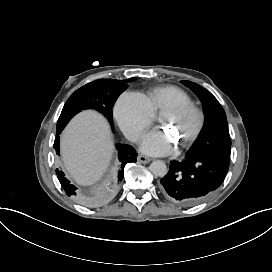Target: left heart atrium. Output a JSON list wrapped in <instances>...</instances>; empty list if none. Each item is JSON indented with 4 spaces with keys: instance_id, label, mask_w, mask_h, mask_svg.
<instances>
[{
    "instance_id": "39dd6f15",
    "label": "left heart atrium",
    "mask_w": 272,
    "mask_h": 272,
    "mask_svg": "<svg viewBox=\"0 0 272 272\" xmlns=\"http://www.w3.org/2000/svg\"><path fill=\"white\" fill-rule=\"evenodd\" d=\"M143 150L154 155L168 154L173 150L171 137L161 129H153L144 137Z\"/></svg>"
}]
</instances>
